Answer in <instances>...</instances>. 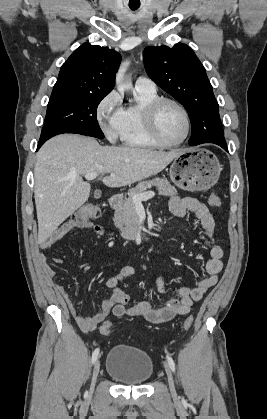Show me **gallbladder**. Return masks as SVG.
<instances>
[{
    "label": "gallbladder",
    "instance_id": "bac80fb5",
    "mask_svg": "<svg viewBox=\"0 0 267 419\" xmlns=\"http://www.w3.org/2000/svg\"><path fill=\"white\" fill-rule=\"evenodd\" d=\"M101 196V192L100 191H96L95 192V197H100Z\"/></svg>",
    "mask_w": 267,
    "mask_h": 419
}]
</instances>
